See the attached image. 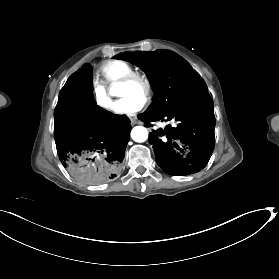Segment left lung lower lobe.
Instances as JSON below:
<instances>
[{
  "instance_id": "left-lung-lower-lobe-1",
  "label": "left lung lower lobe",
  "mask_w": 279,
  "mask_h": 279,
  "mask_svg": "<svg viewBox=\"0 0 279 279\" xmlns=\"http://www.w3.org/2000/svg\"><path fill=\"white\" fill-rule=\"evenodd\" d=\"M143 122L178 121L177 126L154 130L149 135L157 164L170 175L184 176L203 169L214 148L215 117L209 93L163 114L143 113Z\"/></svg>"
}]
</instances>
